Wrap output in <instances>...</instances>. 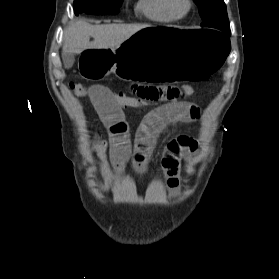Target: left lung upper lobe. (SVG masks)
I'll use <instances>...</instances> for the list:
<instances>
[{"mask_svg":"<svg viewBox=\"0 0 279 279\" xmlns=\"http://www.w3.org/2000/svg\"><path fill=\"white\" fill-rule=\"evenodd\" d=\"M199 6L202 27L229 33L230 26L223 0H193Z\"/></svg>","mask_w":279,"mask_h":279,"instance_id":"obj_1","label":"left lung upper lobe"}]
</instances>
